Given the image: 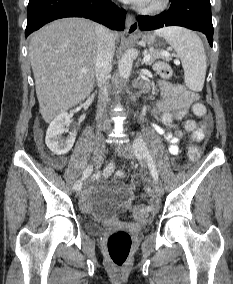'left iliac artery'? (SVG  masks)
<instances>
[{
    "instance_id": "1",
    "label": "left iliac artery",
    "mask_w": 233,
    "mask_h": 284,
    "mask_svg": "<svg viewBox=\"0 0 233 284\" xmlns=\"http://www.w3.org/2000/svg\"><path fill=\"white\" fill-rule=\"evenodd\" d=\"M133 147L135 148L136 155L138 157H143L146 160L154 180H158V172L155 163L146 147L145 142L141 138H137L133 143Z\"/></svg>"
}]
</instances>
